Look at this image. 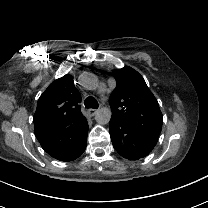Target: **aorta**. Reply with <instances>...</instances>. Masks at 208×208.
<instances>
[{
    "instance_id": "obj_1",
    "label": "aorta",
    "mask_w": 208,
    "mask_h": 208,
    "mask_svg": "<svg viewBox=\"0 0 208 208\" xmlns=\"http://www.w3.org/2000/svg\"><path fill=\"white\" fill-rule=\"evenodd\" d=\"M112 116L110 107L102 106L95 111V119L99 124L109 123Z\"/></svg>"
}]
</instances>
